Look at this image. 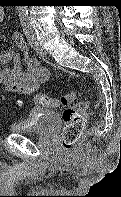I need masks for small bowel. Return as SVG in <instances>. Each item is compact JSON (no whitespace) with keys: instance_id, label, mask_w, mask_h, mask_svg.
I'll return each instance as SVG.
<instances>
[{"instance_id":"c3829d8e","label":"small bowel","mask_w":121,"mask_h":197,"mask_svg":"<svg viewBox=\"0 0 121 197\" xmlns=\"http://www.w3.org/2000/svg\"><path fill=\"white\" fill-rule=\"evenodd\" d=\"M4 18V10L0 7V24ZM13 42L16 51L0 53V84L7 91L30 95L47 80L48 73L37 58L28 55L27 44L20 33L13 35Z\"/></svg>"}]
</instances>
